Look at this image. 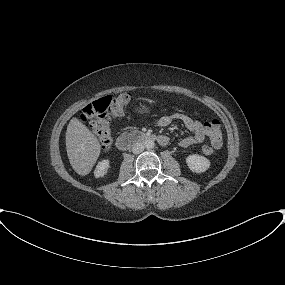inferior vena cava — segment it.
I'll list each match as a JSON object with an SVG mask.
<instances>
[{
  "label": "inferior vena cava",
  "mask_w": 285,
  "mask_h": 285,
  "mask_svg": "<svg viewBox=\"0 0 285 285\" xmlns=\"http://www.w3.org/2000/svg\"><path fill=\"white\" fill-rule=\"evenodd\" d=\"M145 146L143 143H136L133 147H132V152L134 154H140L144 151Z\"/></svg>",
  "instance_id": "602c4592"
}]
</instances>
